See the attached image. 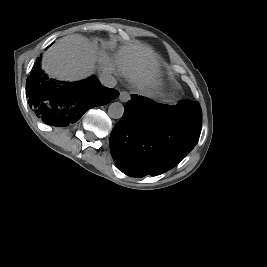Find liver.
Here are the masks:
<instances>
[{"mask_svg": "<svg viewBox=\"0 0 267 267\" xmlns=\"http://www.w3.org/2000/svg\"><path fill=\"white\" fill-rule=\"evenodd\" d=\"M152 48L139 41L120 47L115 59L80 34L59 39L44 54L42 69L52 78L76 81L90 76L96 63L103 72L121 71L140 90L152 86L159 71Z\"/></svg>", "mask_w": 267, "mask_h": 267, "instance_id": "liver-1", "label": "liver"}]
</instances>
